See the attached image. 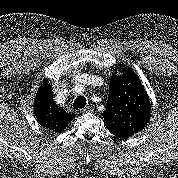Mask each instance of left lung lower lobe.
Listing matches in <instances>:
<instances>
[{"mask_svg":"<svg viewBox=\"0 0 178 178\" xmlns=\"http://www.w3.org/2000/svg\"><path fill=\"white\" fill-rule=\"evenodd\" d=\"M107 129L115 136L121 137V138H127L133 136L135 133H131L125 130H121L119 128L115 127H107Z\"/></svg>","mask_w":178,"mask_h":178,"instance_id":"obj_1","label":"left lung lower lobe"}]
</instances>
